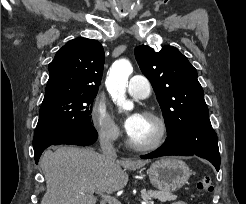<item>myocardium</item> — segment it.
Returning <instances> with one entry per match:
<instances>
[{
  "label": "myocardium",
  "instance_id": "f54148a6",
  "mask_svg": "<svg viewBox=\"0 0 246 204\" xmlns=\"http://www.w3.org/2000/svg\"><path fill=\"white\" fill-rule=\"evenodd\" d=\"M143 116L154 120L158 126V132L156 137L149 143L141 144L133 141L130 136L127 137L126 143L128 147L139 152H150L158 149L164 143L167 133L168 126L165 118L155 111H145Z\"/></svg>",
  "mask_w": 246,
  "mask_h": 204
}]
</instances>
